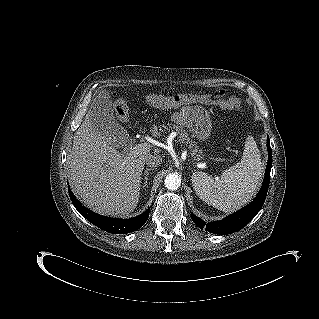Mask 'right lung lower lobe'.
<instances>
[{"label":"right lung lower lobe","instance_id":"right-lung-lower-lobe-1","mask_svg":"<svg viewBox=\"0 0 319 319\" xmlns=\"http://www.w3.org/2000/svg\"><path fill=\"white\" fill-rule=\"evenodd\" d=\"M69 195L73 205L85 219H87L89 222L99 227L100 229L113 234H125L136 231L145 224L149 216L148 209L145 213L131 219L105 217L92 212L91 210L82 206V204L75 198L70 189Z\"/></svg>","mask_w":319,"mask_h":319}]
</instances>
